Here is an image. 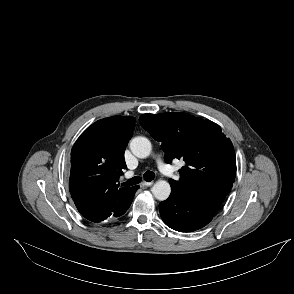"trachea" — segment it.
<instances>
[{
    "mask_svg": "<svg viewBox=\"0 0 294 294\" xmlns=\"http://www.w3.org/2000/svg\"><path fill=\"white\" fill-rule=\"evenodd\" d=\"M143 176H144V180L147 182H150L155 178V174L152 171L145 172ZM140 182H141V177L135 176V177L127 180L126 182H124L122 185L127 187V186L136 185Z\"/></svg>",
    "mask_w": 294,
    "mask_h": 294,
    "instance_id": "3493384b",
    "label": "trachea"
}]
</instances>
